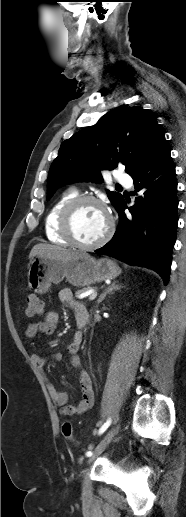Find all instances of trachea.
<instances>
[{
	"label": "trachea",
	"instance_id": "obj_1",
	"mask_svg": "<svg viewBox=\"0 0 186 517\" xmlns=\"http://www.w3.org/2000/svg\"><path fill=\"white\" fill-rule=\"evenodd\" d=\"M117 188H122L121 186H117Z\"/></svg>",
	"mask_w": 186,
	"mask_h": 517
}]
</instances>
